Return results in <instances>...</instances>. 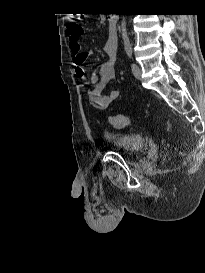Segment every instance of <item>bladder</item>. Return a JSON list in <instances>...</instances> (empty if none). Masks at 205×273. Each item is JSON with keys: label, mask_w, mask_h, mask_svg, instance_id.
I'll return each mask as SVG.
<instances>
[{"label": "bladder", "mask_w": 205, "mask_h": 273, "mask_svg": "<svg viewBox=\"0 0 205 273\" xmlns=\"http://www.w3.org/2000/svg\"><path fill=\"white\" fill-rule=\"evenodd\" d=\"M106 143L130 155H138L144 151L146 142L143 136L134 133L106 132Z\"/></svg>", "instance_id": "obj_1"}]
</instances>
